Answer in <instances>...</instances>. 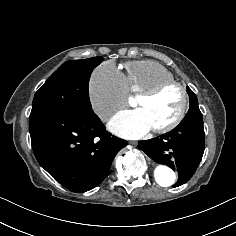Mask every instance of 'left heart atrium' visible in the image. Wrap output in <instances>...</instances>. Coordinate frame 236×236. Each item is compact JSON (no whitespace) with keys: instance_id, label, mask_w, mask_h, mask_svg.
Listing matches in <instances>:
<instances>
[{"instance_id":"39dd6f15","label":"left heart atrium","mask_w":236,"mask_h":236,"mask_svg":"<svg viewBox=\"0 0 236 236\" xmlns=\"http://www.w3.org/2000/svg\"><path fill=\"white\" fill-rule=\"evenodd\" d=\"M108 127L116 135L128 139L140 138L151 130L144 112L139 108L119 112Z\"/></svg>"}]
</instances>
